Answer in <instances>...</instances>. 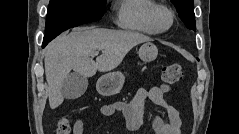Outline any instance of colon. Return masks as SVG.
Instances as JSON below:
<instances>
[{"instance_id": "5ec220e1", "label": "colon", "mask_w": 239, "mask_h": 134, "mask_svg": "<svg viewBox=\"0 0 239 134\" xmlns=\"http://www.w3.org/2000/svg\"><path fill=\"white\" fill-rule=\"evenodd\" d=\"M183 70L179 63H170L162 70L163 86L166 90H170L182 78ZM70 121L68 118L63 117L58 125L57 134H69Z\"/></svg>"}]
</instances>
